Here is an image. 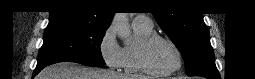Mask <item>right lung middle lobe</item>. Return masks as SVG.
I'll list each match as a JSON object with an SVG mask.
<instances>
[{
	"label": "right lung middle lobe",
	"mask_w": 255,
	"mask_h": 79,
	"mask_svg": "<svg viewBox=\"0 0 255 79\" xmlns=\"http://www.w3.org/2000/svg\"><path fill=\"white\" fill-rule=\"evenodd\" d=\"M106 29L66 22L49 23L38 54L37 67L62 61L104 66L100 44Z\"/></svg>",
	"instance_id": "right-lung-middle-lobe-1"
}]
</instances>
